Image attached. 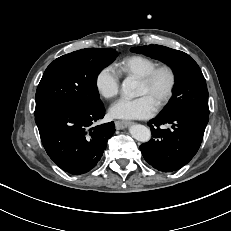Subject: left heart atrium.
I'll list each match as a JSON object with an SVG mask.
<instances>
[{
  "label": "left heart atrium",
  "instance_id": "obj_1",
  "mask_svg": "<svg viewBox=\"0 0 231 231\" xmlns=\"http://www.w3.org/2000/svg\"><path fill=\"white\" fill-rule=\"evenodd\" d=\"M156 105L147 95L123 97L110 107V115L118 119H144L152 116Z\"/></svg>",
  "mask_w": 231,
  "mask_h": 231
}]
</instances>
